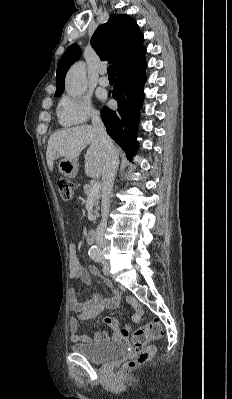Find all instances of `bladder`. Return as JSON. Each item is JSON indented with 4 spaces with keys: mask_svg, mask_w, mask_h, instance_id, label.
Instances as JSON below:
<instances>
[{
    "mask_svg": "<svg viewBox=\"0 0 232 399\" xmlns=\"http://www.w3.org/2000/svg\"><path fill=\"white\" fill-rule=\"evenodd\" d=\"M71 349L91 362L100 363L123 356L127 346L121 341L78 342Z\"/></svg>",
    "mask_w": 232,
    "mask_h": 399,
    "instance_id": "31cf9c89",
    "label": "bladder"
}]
</instances>
